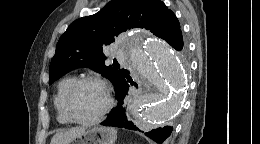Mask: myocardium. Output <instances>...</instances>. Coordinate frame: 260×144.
Returning a JSON list of instances; mask_svg holds the SVG:
<instances>
[{
  "mask_svg": "<svg viewBox=\"0 0 260 144\" xmlns=\"http://www.w3.org/2000/svg\"><path fill=\"white\" fill-rule=\"evenodd\" d=\"M86 83H92L100 87V89L103 92L104 95V106L101 109V111L93 118L89 119H78L76 118L70 111V101L72 99V96L74 95L75 91L83 84ZM112 105V99L109 93V89L104 81H102L99 78L87 76L76 79L72 85L67 90L64 98H63V112L67 119L75 124L80 125H90L99 122L105 114L108 112V110L111 108Z\"/></svg>",
  "mask_w": 260,
  "mask_h": 144,
  "instance_id": "1",
  "label": "myocardium"
}]
</instances>
